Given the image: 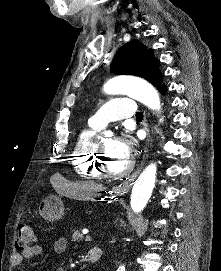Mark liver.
<instances>
[{"instance_id":"1","label":"liver","mask_w":221,"mask_h":271,"mask_svg":"<svg viewBox=\"0 0 221 271\" xmlns=\"http://www.w3.org/2000/svg\"><path fill=\"white\" fill-rule=\"evenodd\" d=\"M54 187H57V185H54ZM102 189H105L102 183H94V181H80V183H66V189L63 193L66 197H73V199H83V201H87V199L94 197L95 191H102ZM58 193H62V191H58Z\"/></svg>"}]
</instances>
